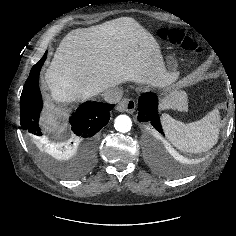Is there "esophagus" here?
Listing matches in <instances>:
<instances>
[{
  "label": "esophagus",
  "mask_w": 236,
  "mask_h": 236,
  "mask_svg": "<svg viewBox=\"0 0 236 236\" xmlns=\"http://www.w3.org/2000/svg\"><path fill=\"white\" fill-rule=\"evenodd\" d=\"M135 109H136V103L133 99L124 98L117 105V110L119 112H127L132 114L135 111Z\"/></svg>",
  "instance_id": "esophagus-1"
}]
</instances>
